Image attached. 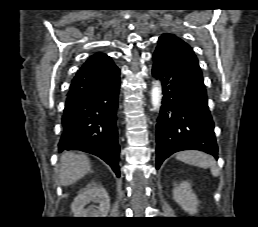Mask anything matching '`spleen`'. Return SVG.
Returning <instances> with one entry per match:
<instances>
[{
  "label": "spleen",
  "mask_w": 258,
  "mask_h": 227,
  "mask_svg": "<svg viewBox=\"0 0 258 227\" xmlns=\"http://www.w3.org/2000/svg\"><path fill=\"white\" fill-rule=\"evenodd\" d=\"M176 158L184 163L210 168L213 176H218L219 171L215 160L210 155L199 151H184L177 154Z\"/></svg>",
  "instance_id": "obj_1"
}]
</instances>
